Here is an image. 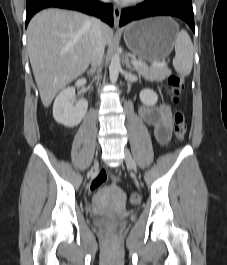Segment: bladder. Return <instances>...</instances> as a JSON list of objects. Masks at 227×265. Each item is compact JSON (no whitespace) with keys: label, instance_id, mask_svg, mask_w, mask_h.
I'll return each mask as SVG.
<instances>
[{"label":"bladder","instance_id":"1","mask_svg":"<svg viewBox=\"0 0 227 265\" xmlns=\"http://www.w3.org/2000/svg\"><path fill=\"white\" fill-rule=\"evenodd\" d=\"M106 195L111 196L117 193V189L114 187H107L104 189ZM93 224L99 228H107L117 225V222L104 214H98L93 218Z\"/></svg>","mask_w":227,"mask_h":265}]
</instances>
